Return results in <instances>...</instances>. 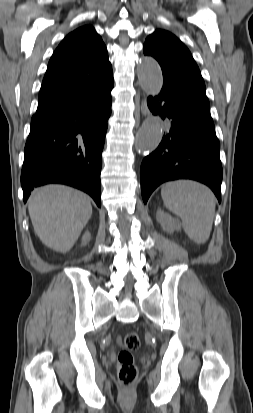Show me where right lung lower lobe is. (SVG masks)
<instances>
[{"instance_id": "98d812e1", "label": "right lung lower lobe", "mask_w": 253, "mask_h": 413, "mask_svg": "<svg viewBox=\"0 0 253 413\" xmlns=\"http://www.w3.org/2000/svg\"><path fill=\"white\" fill-rule=\"evenodd\" d=\"M113 74L99 90L31 126L21 172L24 202L34 187L62 183L88 193L101 206V156L111 115Z\"/></svg>"}]
</instances>
